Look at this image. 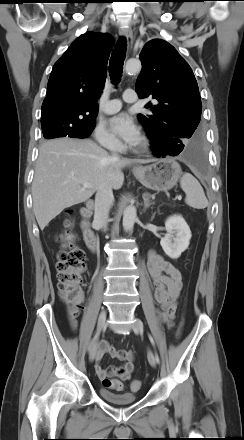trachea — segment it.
<instances>
[{
	"instance_id": "3493384b",
	"label": "trachea",
	"mask_w": 244,
	"mask_h": 440,
	"mask_svg": "<svg viewBox=\"0 0 244 440\" xmlns=\"http://www.w3.org/2000/svg\"><path fill=\"white\" fill-rule=\"evenodd\" d=\"M126 50V39L124 37H121L112 52L109 63V73L112 83L114 85H117L121 80L123 64L126 57Z\"/></svg>"
}]
</instances>
